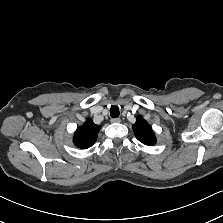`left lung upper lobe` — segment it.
<instances>
[{
	"label": "left lung upper lobe",
	"mask_w": 223,
	"mask_h": 223,
	"mask_svg": "<svg viewBox=\"0 0 223 223\" xmlns=\"http://www.w3.org/2000/svg\"><path fill=\"white\" fill-rule=\"evenodd\" d=\"M133 130L136 138L145 145H154L156 143L155 135L151 126L142 118L138 116L136 123L133 125Z\"/></svg>",
	"instance_id": "left-lung-upper-lobe-1"
}]
</instances>
